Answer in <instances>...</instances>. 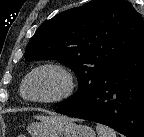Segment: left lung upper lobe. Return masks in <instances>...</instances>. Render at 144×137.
<instances>
[{
	"label": "left lung upper lobe",
	"mask_w": 144,
	"mask_h": 137,
	"mask_svg": "<svg viewBox=\"0 0 144 137\" xmlns=\"http://www.w3.org/2000/svg\"><path fill=\"white\" fill-rule=\"evenodd\" d=\"M144 19L125 0H93L44 22L28 43L27 61L56 59L76 74L82 99L101 76L135 45Z\"/></svg>",
	"instance_id": "left-lung-upper-lobe-1"
}]
</instances>
